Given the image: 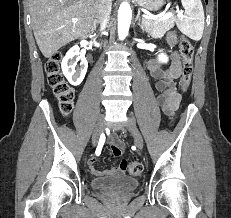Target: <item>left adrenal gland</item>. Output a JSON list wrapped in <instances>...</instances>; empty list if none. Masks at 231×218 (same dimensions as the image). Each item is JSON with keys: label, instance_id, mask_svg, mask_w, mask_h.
Wrapping results in <instances>:
<instances>
[{"label": "left adrenal gland", "instance_id": "left-adrenal-gland-1", "mask_svg": "<svg viewBox=\"0 0 231 218\" xmlns=\"http://www.w3.org/2000/svg\"><path fill=\"white\" fill-rule=\"evenodd\" d=\"M135 21H138V26H140V28L144 31V29H143V27H142V25H141V23H140V21H141V19H140V10H138V13H137V16H136V18H135Z\"/></svg>", "mask_w": 231, "mask_h": 218}]
</instances>
